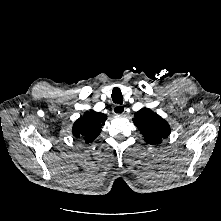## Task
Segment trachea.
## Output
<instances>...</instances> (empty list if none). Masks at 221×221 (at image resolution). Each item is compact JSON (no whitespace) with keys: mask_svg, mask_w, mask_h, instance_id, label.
Instances as JSON below:
<instances>
[{"mask_svg":"<svg viewBox=\"0 0 221 221\" xmlns=\"http://www.w3.org/2000/svg\"><path fill=\"white\" fill-rule=\"evenodd\" d=\"M112 100L115 104H122L123 103V95L119 88H114L112 91Z\"/></svg>","mask_w":221,"mask_h":221,"instance_id":"1","label":"trachea"}]
</instances>
